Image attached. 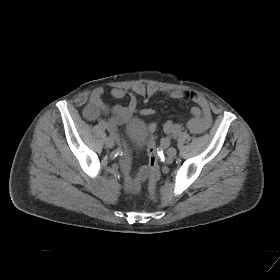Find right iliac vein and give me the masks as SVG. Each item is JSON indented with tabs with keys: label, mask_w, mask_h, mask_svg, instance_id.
Instances as JSON below:
<instances>
[{
	"label": "right iliac vein",
	"mask_w": 280,
	"mask_h": 280,
	"mask_svg": "<svg viewBox=\"0 0 280 280\" xmlns=\"http://www.w3.org/2000/svg\"><path fill=\"white\" fill-rule=\"evenodd\" d=\"M105 145H106V147H108V148H112V147L114 146V140H113V138H112V137H107V138L105 139Z\"/></svg>",
	"instance_id": "63e3f726"
}]
</instances>
